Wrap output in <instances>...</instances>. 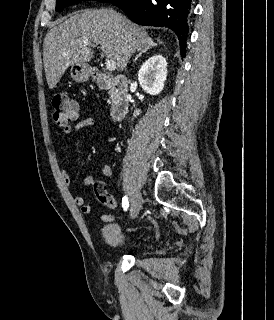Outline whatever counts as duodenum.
<instances>
[{"instance_id":"410a0bca","label":"duodenum","mask_w":274,"mask_h":320,"mask_svg":"<svg viewBox=\"0 0 274 320\" xmlns=\"http://www.w3.org/2000/svg\"><path fill=\"white\" fill-rule=\"evenodd\" d=\"M93 78L100 90L113 91L110 115L113 119H121L130 106L129 79L125 76H110L98 71L93 73Z\"/></svg>"}]
</instances>
